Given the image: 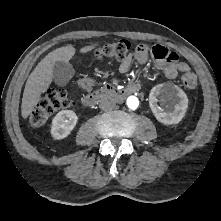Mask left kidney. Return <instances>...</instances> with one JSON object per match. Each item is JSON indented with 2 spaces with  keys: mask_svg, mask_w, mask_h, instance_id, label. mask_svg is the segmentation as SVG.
Segmentation results:
<instances>
[{
  "mask_svg": "<svg viewBox=\"0 0 221 221\" xmlns=\"http://www.w3.org/2000/svg\"><path fill=\"white\" fill-rule=\"evenodd\" d=\"M149 105L160 123L165 125L178 124L187 111L188 98L178 86L172 83H164L151 89Z\"/></svg>",
  "mask_w": 221,
  "mask_h": 221,
  "instance_id": "left-kidney-1",
  "label": "left kidney"
}]
</instances>
